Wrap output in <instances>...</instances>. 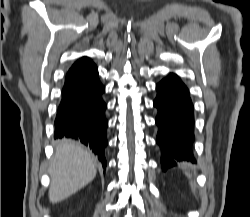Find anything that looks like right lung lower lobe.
<instances>
[{
    "mask_svg": "<svg viewBox=\"0 0 250 217\" xmlns=\"http://www.w3.org/2000/svg\"><path fill=\"white\" fill-rule=\"evenodd\" d=\"M104 91L96 65L86 57L76 62L65 78L54 122V138L80 140L106 168L104 149L108 121L105 117L107 106L102 99Z\"/></svg>",
    "mask_w": 250,
    "mask_h": 217,
    "instance_id": "1",
    "label": "right lung lower lobe"
}]
</instances>
